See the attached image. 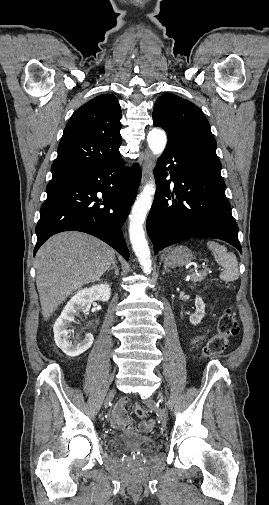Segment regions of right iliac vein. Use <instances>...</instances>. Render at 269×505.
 Wrapping results in <instances>:
<instances>
[{"mask_svg":"<svg viewBox=\"0 0 269 505\" xmlns=\"http://www.w3.org/2000/svg\"><path fill=\"white\" fill-rule=\"evenodd\" d=\"M115 393H116L115 389H113V390L110 391V393H109V395H108V397L106 399L107 403L114 397Z\"/></svg>","mask_w":269,"mask_h":505,"instance_id":"right-iliac-vein-1","label":"right iliac vein"}]
</instances>
